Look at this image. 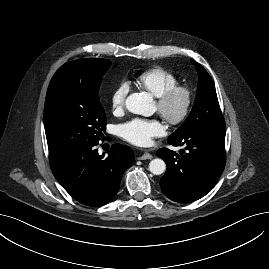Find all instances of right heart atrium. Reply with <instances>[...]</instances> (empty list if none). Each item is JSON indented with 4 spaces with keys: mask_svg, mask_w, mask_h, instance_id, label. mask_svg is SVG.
<instances>
[{
    "mask_svg": "<svg viewBox=\"0 0 269 269\" xmlns=\"http://www.w3.org/2000/svg\"><path fill=\"white\" fill-rule=\"evenodd\" d=\"M128 93L129 85L126 82H120L112 91L109 97V105L114 113H120L124 110Z\"/></svg>",
    "mask_w": 269,
    "mask_h": 269,
    "instance_id": "obj_1",
    "label": "right heart atrium"
}]
</instances>
